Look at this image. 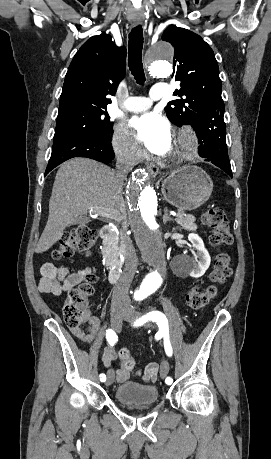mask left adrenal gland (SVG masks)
Returning <instances> with one entry per match:
<instances>
[{
    "instance_id": "obj_1",
    "label": "left adrenal gland",
    "mask_w": 271,
    "mask_h": 459,
    "mask_svg": "<svg viewBox=\"0 0 271 459\" xmlns=\"http://www.w3.org/2000/svg\"><path fill=\"white\" fill-rule=\"evenodd\" d=\"M163 222H164V224H166V222H171V218H170V216H168L167 208H165V210H164Z\"/></svg>"
}]
</instances>
